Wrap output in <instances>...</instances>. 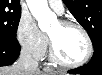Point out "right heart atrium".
<instances>
[{
    "label": "right heart atrium",
    "mask_w": 102,
    "mask_h": 75,
    "mask_svg": "<svg viewBox=\"0 0 102 75\" xmlns=\"http://www.w3.org/2000/svg\"><path fill=\"white\" fill-rule=\"evenodd\" d=\"M16 35L20 45L26 52L35 59H42L44 57L47 51L48 41L32 17L22 16L20 18Z\"/></svg>",
    "instance_id": "right-heart-atrium-1"
}]
</instances>
